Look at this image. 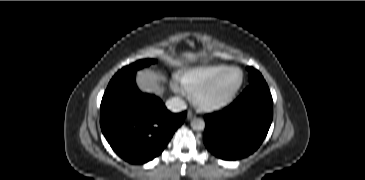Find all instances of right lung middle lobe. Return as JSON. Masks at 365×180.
<instances>
[{"mask_svg":"<svg viewBox=\"0 0 365 180\" xmlns=\"http://www.w3.org/2000/svg\"><path fill=\"white\" fill-rule=\"evenodd\" d=\"M154 62H156V61L153 60V59L139 60V61H137V62H135V63H133L129 66H126V67L122 68L121 70H119L113 78L118 77V76H122V75L127 74V73H135L138 69L143 68L145 66H148V65H150Z\"/></svg>","mask_w":365,"mask_h":180,"instance_id":"obj_1","label":"right lung middle lobe"}]
</instances>
